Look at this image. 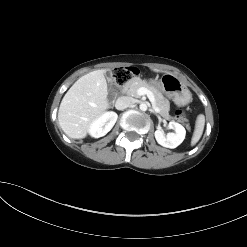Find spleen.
<instances>
[{"label": "spleen", "mask_w": 247, "mask_h": 247, "mask_svg": "<svg viewBox=\"0 0 247 247\" xmlns=\"http://www.w3.org/2000/svg\"><path fill=\"white\" fill-rule=\"evenodd\" d=\"M205 125V116L203 114L198 115L195 130L191 139V145L194 146L201 138Z\"/></svg>", "instance_id": "spleen-1"}]
</instances>
